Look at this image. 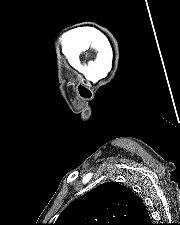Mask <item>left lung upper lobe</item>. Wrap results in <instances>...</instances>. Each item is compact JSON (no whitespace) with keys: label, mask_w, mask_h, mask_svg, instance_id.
I'll use <instances>...</instances> for the list:
<instances>
[{"label":"left lung upper lobe","mask_w":180,"mask_h":225,"mask_svg":"<svg viewBox=\"0 0 180 225\" xmlns=\"http://www.w3.org/2000/svg\"><path fill=\"white\" fill-rule=\"evenodd\" d=\"M145 210L129 188L108 182L73 201L54 225H128Z\"/></svg>","instance_id":"5c2ea615"}]
</instances>
